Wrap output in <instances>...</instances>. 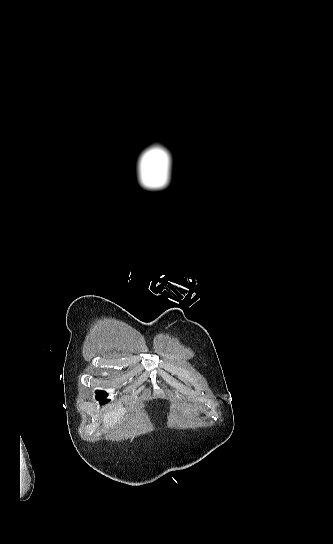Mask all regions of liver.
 <instances>
[{
  "mask_svg": "<svg viewBox=\"0 0 333 544\" xmlns=\"http://www.w3.org/2000/svg\"><path fill=\"white\" fill-rule=\"evenodd\" d=\"M126 412L127 409L123 407H118L108 412L103 419L104 426L106 428L115 426L117 423L120 422L121 418Z\"/></svg>",
  "mask_w": 333,
  "mask_h": 544,
  "instance_id": "1",
  "label": "liver"
}]
</instances>
